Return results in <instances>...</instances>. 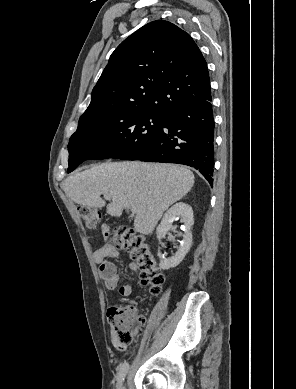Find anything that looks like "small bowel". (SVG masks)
I'll return each mask as SVG.
<instances>
[{"instance_id":"c3829d8e","label":"small bowel","mask_w":296,"mask_h":389,"mask_svg":"<svg viewBox=\"0 0 296 389\" xmlns=\"http://www.w3.org/2000/svg\"><path fill=\"white\" fill-rule=\"evenodd\" d=\"M107 230L104 227L103 231L105 235ZM116 254L117 250L113 246L106 244L94 251L93 258L98 265L99 273L104 280L106 289L109 291L118 290L121 296L126 297L131 294L132 287L117 273L116 266L109 259ZM128 269L130 272L135 273L138 271V265L135 262H131L128 265Z\"/></svg>"}]
</instances>
